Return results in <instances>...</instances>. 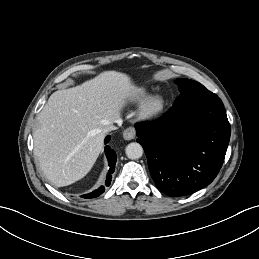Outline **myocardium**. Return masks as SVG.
Segmentation results:
<instances>
[{
  "instance_id": "1",
  "label": "myocardium",
  "mask_w": 259,
  "mask_h": 259,
  "mask_svg": "<svg viewBox=\"0 0 259 259\" xmlns=\"http://www.w3.org/2000/svg\"><path fill=\"white\" fill-rule=\"evenodd\" d=\"M165 108V99L161 94H154L142 104L138 116L141 119H150L159 115Z\"/></svg>"
}]
</instances>
